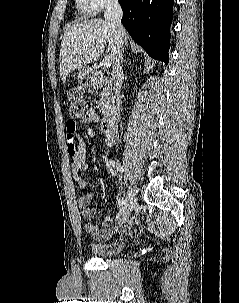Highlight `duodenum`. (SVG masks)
<instances>
[{
    "label": "duodenum",
    "mask_w": 239,
    "mask_h": 303,
    "mask_svg": "<svg viewBox=\"0 0 239 303\" xmlns=\"http://www.w3.org/2000/svg\"><path fill=\"white\" fill-rule=\"evenodd\" d=\"M101 129L110 137H115L118 132V120L115 114H107L100 123Z\"/></svg>",
    "instance_id": "410a0bca"
}]
</instances>
